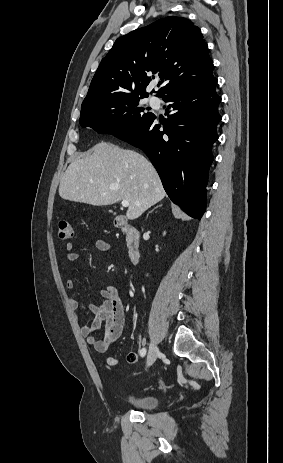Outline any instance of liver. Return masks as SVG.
<instances>
[{"mask_svg":"<svg viewBox=\"0 0 283 463\" xmlns=\"http://www.w3.org/2000/svg\"><path fill=\"white\" fill-rule=\"evenodd\" d=\"M59 195L94 206L128 200L126 217L134 220L161 201L165 191L156 169L143 155L101 142L68 166Z\"/></svg>","mask_w":283,"mask_h":463,"instance_id":"obj_1","label":"liver"}]
</instances>
